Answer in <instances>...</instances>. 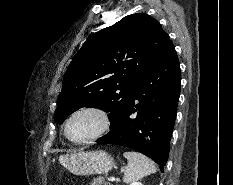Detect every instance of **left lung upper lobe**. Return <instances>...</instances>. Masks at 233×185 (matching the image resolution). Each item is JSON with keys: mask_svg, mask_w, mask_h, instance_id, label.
Listing matches in <instances>:
<instances>
[{"mask_svg": "<svg viewBox=\"0 0 233 185\" xmlns=\"http://www.w3.org/2000/svg\"><path fill=\"white\" fill-rule=\"evenodd\" d=\"M169 42L161 24L145 13L125 16L91 35L70 63L58 97L61 124L81 107L109 112L115 126L131 102L135 86Z\"/></svg>", "mask_w": 233, "mask_h": 185, "instance_id": "1", "label": "left lung upper lobe"}]
</instances>
